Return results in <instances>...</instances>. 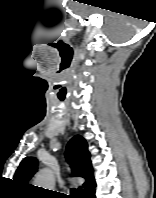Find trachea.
Listing matches in <instances>:
<instances>
[{
  "label": "trachea",
  "mask_w": 156,
  "mask_h": 198,
  "mask_svg": "<svg viewBox=\"0 0 156 198\" xmlns=\"http://www.w3.org/2000/svg\"><path fill=\"white\" fill-rule=\"evenodd\" d=\"M71 194L72 196H70V198H82V189L78 188V189H71Z\"/></svg>",
  "instance_id": "3493384b"
}]
</instances>
